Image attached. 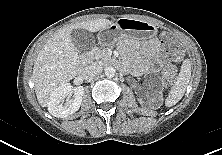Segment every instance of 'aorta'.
Masks as SVG:
<instances>
[{
  "mask_svg": "<svg viewBox=\"0 0 222 155\" xmlns=\"http://www.w3.org/2000/svg\"><path fill=\"white\" fill-rule=\"evenodd\" d=\"M104 71H105V75H106L108 78L114 77V76H115V73H116L115 69H114L113 67H111V66L106 67V68L104 69Z\"/></svg>",
  "mask_w": 222,
  "mask_h": 155,
  "instance_id": "obj_1",
  "label": "aorta"
}]
</instances>
